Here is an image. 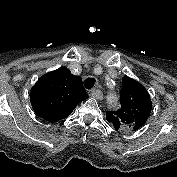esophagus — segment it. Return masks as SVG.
Segmentation results:
<instances>
[{"mask_svg":"<svg viewBox=\"0 0 177 177\" xmlns=\"http://www.w3.org/2000/svg\"><path fill=\"white\" fill-rule=\"evenodd\" d=\"M90 96H92L93 98H96L98 100L103 99V93L99 89H92L90 92Z\"/></svg>","mask_w":177,"mask_h":177,"instance_id":"esophagus-1","label":"esophagus"}]
</instances>
